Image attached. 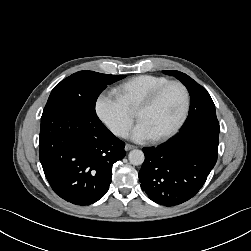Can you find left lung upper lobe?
<instances>
[{"mask_svg": "<svg viewBox=\"0 0 251 251\" xmlns=\"http://www.w3.org/2000/svg\"><path fill=\"white\" fill-rule=\"evenodd\" d=\"M163 73L175 76L186 86V88L189 91L190 110H189V115L182 129L200 123H212V124L218 123L216 117L215 105L205 88H203L191 77L182 72L174 70H166L163 71Z\"/></svg>", "mask_w": 251, "mask_h": 251, "instance_id": "5c2ea615", "label": "left lung upper lobe"}]
</instances>
